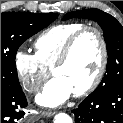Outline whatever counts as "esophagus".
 <instances>
[{"mask_svg": "<svg viewBox=\"0 0 123 123\" xmlns=\"http://www.w3.org/2000/svg\"><path fill=\"white\" fill-rule=\"evenodd\" d=\"M54 114H55L54 111H42L41 112V115L44 117H50V116H53Z\"/></svg>", "mask_w": 123, "mask_h": 123, "instance_id": "1", "label": "esophagus"}]
</instances>
